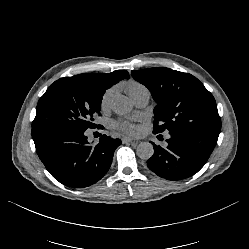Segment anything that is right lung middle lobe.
<instances>
[{
	"instance_id": "right-lung-middle-lobe-1",
	"label": "right lung middle lobe",
	"mask_w": 249,
	"mask_h": 249,
	"mask_svg": "<svg viewBox=\"0 0 249 249\" xmlns=\"http://www.w3.org/2000/svg\"><path fill=\"white\" fill-rule=\"evenodd\" d=\"M105 89L84 77H64L55 81L37 104L32 128L69 127L87 130L100 113Z\"/></svg>"
}]
</instances>
